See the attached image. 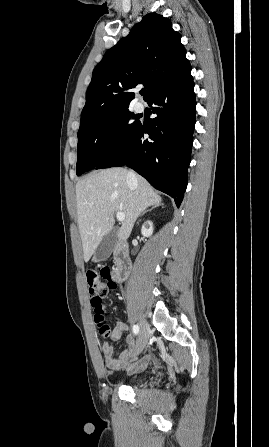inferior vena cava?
I'll return each instance as SVG.
<instances>
[{"label": "inferior vena cava", "mask_w": 269, "mask_h": 447, "mask_svg": "<svg viewBox=\"0 0 269 447\" xmlns=\"http://www.w3.org/2000/svg\"><path fill=\"white\" fill-rule=\"evenodd\" d=\"M127 180H128V182H131V180H136V176H135L134 172H128Z\"/></svg>", "instance_id": "1"}]
</instances>
